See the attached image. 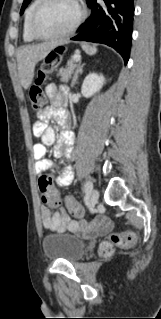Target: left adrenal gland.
Segmentation results:
<instances>
[{
  "label": "left adrenal gland",
  "mask_w": 161,
  "mask_h": 319,
  "mask_svg": "<svg viewBox=\"0 0 161 319\" xmlns=\"http://www.w3.org/2000/svg\"><path fill=\"white\" fill-rule=\"evenodd\" d=\"M84 65L85 64L80 65V63H79L78 68L74 74L71 87H74V85L77 83L78 75L82 74Z\"/></svg>",
  "instance_id": "obj_1"
}]
</instances>
